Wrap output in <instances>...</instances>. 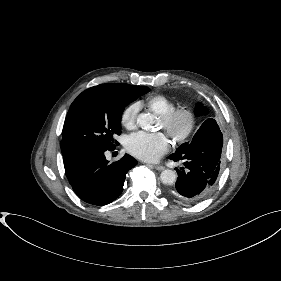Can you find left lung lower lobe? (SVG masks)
I'll list each match as a JSON object with an SVG mask.
<instances>
[{"mask_svg":"<svg viewBox=\"0 0 281 281\" xmlns=\"http://www.w3.org/2000/svg\"><path fill=\"white\" fill-rule=\"evenodd\" d=\"M222 147V133L216 121L208 118L182 153L169 156L184 164L176 168L178 178L172 194L185 203H197L207 197L219 174Z\"/></svg>","mask_w":281,"mask_h":281,"instance_id":"1","label":"left lung lower lobe"}]
</instances>
